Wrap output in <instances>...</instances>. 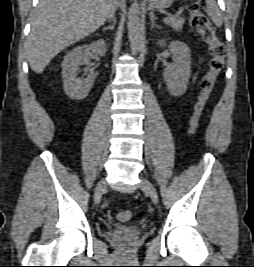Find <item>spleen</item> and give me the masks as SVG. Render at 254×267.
Wrapping results in <instances>:
<instances>
[{
  "mask_svg": "<svg viewBox=\"0 0 254 267\" xmlns=\"http://www.w3.org/2000/svg\"><path fill=\"white\" fill-rule=\"evenodd\" d=\"M206 11L213 23L220 27L223 23V18L216 3V0H206Z\"/></svg>",
  "mask_w": 254,
  "mask_h": 267,
  "instance_id": "3e777b00",
  "label": "spleen"
}]
</instances>
